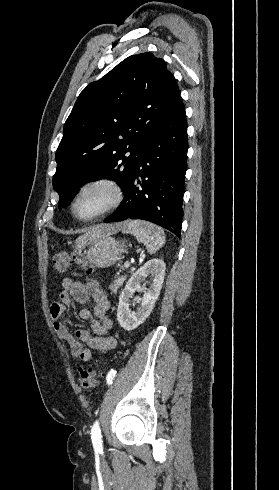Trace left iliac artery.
<instances>
[{
  "label": "left iliac artery",
  "mask_w": 279,
  "mask_h": 490,
  "mask_svg": "<svg viewBox=\"0 0 279 490\" xmlns=\"http://www.w3.org/2000/svg\"><path fill=\"white\" fill-rule=\"evenodd\" d=\"M115 375H116V371L114 369H111L106 378V381L109 385L112 384ZM101 438L102 436H101V430L99 428V423L98 421H96L91 429V439L95 450H103Z\"/></svg>",
  "instance_id": "obj_1"
}]
</instances>
